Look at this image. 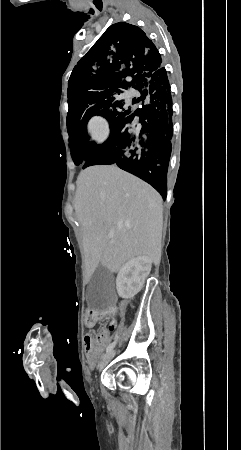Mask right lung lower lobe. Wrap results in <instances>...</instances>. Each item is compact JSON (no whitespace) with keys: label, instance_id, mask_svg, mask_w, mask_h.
I'll return each instance as SVG.
<instances>
[{"label":"right lung lower lobe","instance_id":"98d812e1","mask_svg":"<svg viewBox=\"0 0 241 450\" xmlns=\"http://www.w3.org/2000/svg\"><path fill=\"white\" fill-rule=\"evenodd\" d=\"M141 81L145 105L139 120L120 124L104 144L97 146L87 140V120L81 118L68 131L72 153L87 158L83 168L116 164L149 183L165 199L172 138L170 84L164 67L147 73Z\"/></svg>","mask_w":241,"mask_h":450}]
</instances>
